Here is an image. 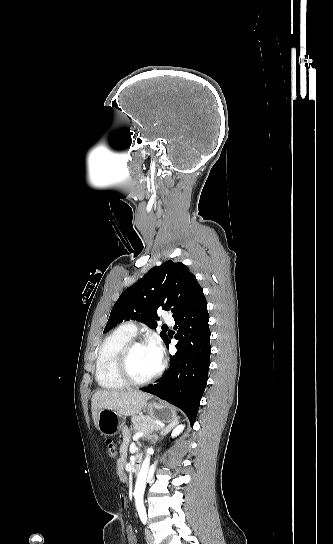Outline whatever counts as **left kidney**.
Masks as SVG:
<instances>
[{
    "label": "left kidney",
    "mask_w": 333,
    "mask_h": 544,
    "mask_svg": "<svg viewBox=\"0 0 333 544\" xmlns=\"http://www.w3.org/2000/svg\"><path fill=\"white\" fill-rule=\"evenodd\" d=\"M185 425H178L172 432L171 436L172 437H176L177 435H179L183 429H184Z\"/></svg>",
    "instance_id": "1"
}]
</instances>
